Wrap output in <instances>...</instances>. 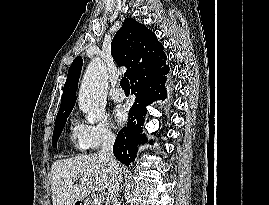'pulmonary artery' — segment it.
I'll return each instance as SVG.
<instances>
[{
    "label": "pulmonary artery",
    "mask_w": 269,
    "mask_h": 205,
    "mask_svg": "<svg viewBox=\"0 0 269 205\" xmlns=\"http://www.w3.org/2000/svg\"><path fill=\"white\" fill-rule=\"evenodd\" d=\"M111 98L116 102H121L125 99V93L121 88H116L111 92Z\"/></svg>",
    "instance_id": "1"
}]
</instances>
